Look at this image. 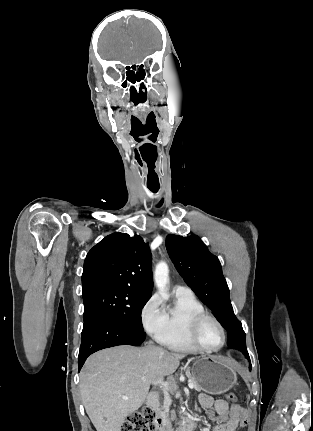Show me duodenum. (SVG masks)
Returning a JSON list of instances; mask_svg holds the SVG:
<instances>
[{
  "mask_svg": "<svg viewBox=\"0 0 313 431\" xmlns=\"http://www.w3.org/2000/svg\"><path fill=\"white\" fill-rule=\"evenodd\" d=\"M147 407L155 410L158 406V395L155 392L150 393L146 399ZM156 431H172L166 418L162 414H157L155 417ZM195 421L192 417H188L182 421L177 431H193Z\"/></svg>",
  "mask_w": 313,
  "mask_h": 431,
  "instance_id": "duodenum-1",
  "label": "duodenum"
}]
</instances>
